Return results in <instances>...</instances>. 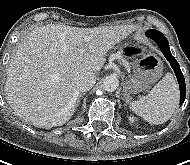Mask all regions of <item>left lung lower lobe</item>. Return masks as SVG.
<instances>
[{
	"label": "left lung lower lobe",
	"mask_w": 190,
	"mask_h": 165,
	"mask_svg": "<svg viewBox=\"0 0 190 165\" xmlns=\"http://www.w3.org/2000/svg\"><path fill=\"white\" fill-rule=\"evenodd\" d=\"M147 37L153 39L158 44L162 53L164 54L166 59L170 62V65L173 68L175 75L177 76V79H178V83L180 87V104H182L186 97L185 79L181 72L178 62L171 54L167 39L164 37V35L161 32H158L156 34H149L147 35Z\"/></svg>",
	"instance_id": "0a47b994"
}]
</instances>
